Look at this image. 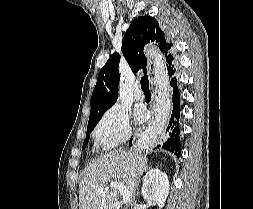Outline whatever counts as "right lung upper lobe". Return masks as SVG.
I'll use <instances>...</instances> for the list:
<instances>
[{"instance_id": "cb5924a9", "label": "right lung upper lobe", "mask_w": 253, "mask_h": 209, "mask_svg": "<svg viewBox=\"0 0 253 209\" xmlns=\"http://www.w3.org/2000/svg\"><path fill=\"white\" fill-rule=\"evenodd\" d=\"M154 43L165 55L168 73L174 70V57L171 54L172 44L165 33L160 29L158 22L151 16H142L134 20L126 31L122 41V53L136 73L140 68L147 73V58L143 53L145 44ZM118 53L112 54L103 68L100 70L97 83L91 97L90 117L103 115L117 100L119 84Z\"/></svg>"}]
</instances>
